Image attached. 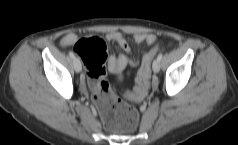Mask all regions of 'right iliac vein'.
I'll use <instances>...</instances> for the list:
<instances>
[{"instance_id":"63e3f726","label":"right iliac vein","mask_w":238,"mask_h":145,"mask_svg":"<svg viewBox=\"0 0 238 145\" xmlns=\"http://www.w3.org/2000/svg\"><path fill=\"white\" fill-rule=\"evenodd\" d=\"M74 69L76 72H80L82 70L81 61L78 57L74 58Z\"/></svg>"}]
</instances>
